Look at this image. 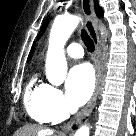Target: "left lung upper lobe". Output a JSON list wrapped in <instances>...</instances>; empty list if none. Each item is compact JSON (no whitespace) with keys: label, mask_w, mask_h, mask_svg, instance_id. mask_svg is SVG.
<instances>
[{"label":"left lung upper lobe","mask_w":136,"mask_h":136,"mask_svg":"<svg viewBox=\"0 0 136 136\" xmlns=\"http://www.w3.org/2000/svg\"><path fill=\"white\" fill-rule=\"evenodd\" d=\"M99 11H100V14L103 15V11H102L101 8H99ZM47 23H48V20H45L44 23H43V25H42V27H41V30H40L38 38H40V36L44 33V31H45V29L47 27Z\"/></svg>","instance_id":"5c2ea615"}]
</instances>
